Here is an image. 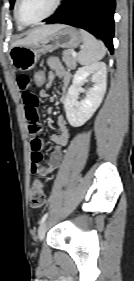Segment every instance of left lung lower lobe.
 Segmentation results:
<instances>
[{"label":"left lung lower lobe","instance_id":"left-lung-lower-lobe-1","mask_svg":"<svg viewBox=\"0 0 134 281\" xmlns=\"http://www.w3.org/2000/svg\"><path fill=\"white\" fill-rule=\"evenodd\" d=\"M115 0H65L46 23H63L97 35L113 53Z\"/></svg>","mask_w":134,"mask_h":281}]
</instances>
